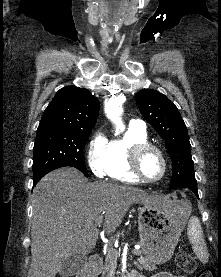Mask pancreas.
Returning <instances> with one entry per match:
<instances>
[{
    "label": "pancreas",
    "mask_w": 221,
    "mask_h": 277,
    "mask_svg": "<svg viewBox=\"0 0 221 277\" xmlns=\"http://www.w3.org/2000/svg\"><path fill=\"white\" fill-rule=\"evenodd\" d=\"M134 255L140 256L137 259V266L140 270H148V271H153L155 270L157 267L154 264H151L150 262H148V260L146 258H144L142 256V251L141 250H135L132 252ZM120 253L118 250L114 249V248H108L107 251V255L105 258V265L102 269V275L104 277H111L110 274L112 272L115 271L116 268V262H117V258L119 257Z\"/></svg>",
    "instance_id": "pancreas-1"
}]
</instances>
